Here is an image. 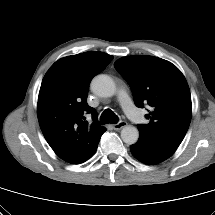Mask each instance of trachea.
Returning <instances> with one entry per match:
<instances>
[{
	"label": "trachea",
	"instance_id": "1",
	"mask_svg": "<svg viewBox=\"0 0 215 215\" xmlns=\"http://www.w3.org/2000/svg\"><path fill=\"white\" fill-rule=\"evenodd\" d=\"M118 120V116L110 109L104 110L100 117L101 124H116Z\"/></svg>",
	"mask_w": 215,
	"mask_h": 215
}]
</instances>
